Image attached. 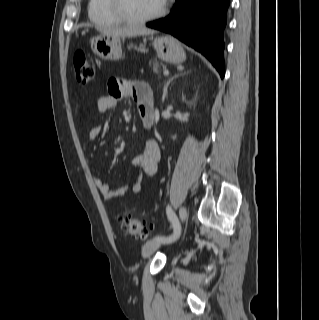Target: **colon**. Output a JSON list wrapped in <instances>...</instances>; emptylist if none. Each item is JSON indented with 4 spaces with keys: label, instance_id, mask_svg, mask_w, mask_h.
Segmentation results:
<instances>
[{
    "label": "colon",
    "instance_id": "obj_1",
    "mask_svg": "<svg viewBox=\"0 0 319 320\" xmlns=\"http://www.w3.org/2000/svg\"><path fill=\"white\" fill-rule=\"evenodd\" d=\"M73 66L77 81L80 84H88L95 76V69L92 62L83 51L75 52L73 56ZM119 223L124 237H149L151 229L142 220L132 215H122Z\"/></svg>",
    "mask_w": 319,
    "mask_h": 320
}]
</instances>
